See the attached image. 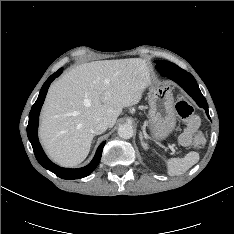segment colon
<instances>
[{
  "instance_id": "5ec220e1",
  "label": "colon",
  "mask_w": 234,
  "mask_h": 234,
  "mask_svg": "<svg viewBox=\"0 0 234 234\" xmlns=\"http://www.w3.org/2000/svg\"><path fill=\"white\" fill-rule=\"evenodd\" d=\"M176 112L180 119L184 121L188 126H197V119L194 115L193 108L189 102L182 95H178L175 104ZM206 140L203 134L198 133L193 141L195 148H201L204 146Z\"/></svg>"
}]
</instances>
